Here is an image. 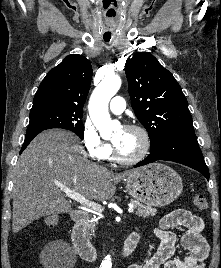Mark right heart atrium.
I'll return each mask as SVG.
<instances>
[{
    "instance_id": "1",
    "label": "right heart atrium",
    "mask_w": 221,
    "mask_h": 268,
    "mask_svg": "<svg viewBox=\"0 0 221 268\" xmlns=\"http://www.w3.org/2000/svg\"><path fill=\"white\" fill-rule=\"evenodd\" d=\"M82 142L90 156L96 161H106L112 155V147L103 140L90 120H85L82 129Z\"/></svg>"
}]
</instances>
